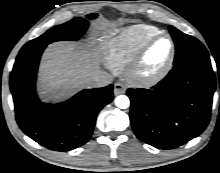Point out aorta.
I'll use <instances>...</instances> for the list:
<instances>
[{
  "mask_svg": "<svg viewBox=\"0 0 220 173\" xmlns=\"http://www.w3.org/2000/svg\"><path fill=\"white\" fill-rule=\"evenodd\" d=\"M115 105L120 109H126L130 106V100L126 95H119L115 99Z\"/></svg>",
  "mask_w": 220,
  "mask_h": 173,
  "instance_id": "aorta-1",
  "label": "aorta"
}]
</instances>
